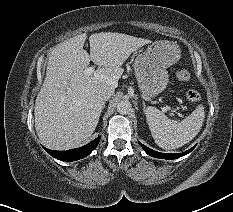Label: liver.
Segmentation results:
<instances>
[{
    "label": "liver",
    "instance_id": "liver-1",
    "mask_svg": "<svg viewBox=\"0 0 233 212\" xmlns=\"http://www.w3.org/2000/svg\"><path fill=\"white\" fill-rule=\"evenodd\" d=\"M87 35L80 34L58 44L50 53L44 83L35 102V129L48 148L77 147L94 132L104 100L102 86L115 90L128 57L150 40L101 32L89 37L90 55L83 49ZM90 61L99 68L91 75L84 69Z\"/></svg>",
    "mask_w": 233,
    "mask_h": 212
}]
</instances>
